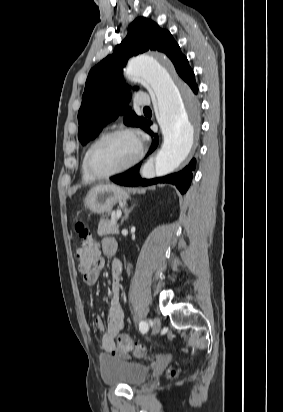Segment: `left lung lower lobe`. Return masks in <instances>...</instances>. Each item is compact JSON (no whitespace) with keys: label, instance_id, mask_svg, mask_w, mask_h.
<instances>
[{"label":"left lung lower lobe","instance_id":"1","mask_svg":"<svg viewBox=\"0 0 283 412\" xmlns=\"http://www.w3.org/2000/svg\"><path fill=\"white\" fill-rule=\"evenodd\" d=\"M184 81L190 86L193 92L197 94L198 87L195 82V76H194L193 71H191L185 77ZM150 125H151V121H148L147 125L144 128L146 132H148L151 136L154 137L151 150L149 151L148 154L153 152L158 145V136L150 130L149 128ZM195 164H196V160L193 159L189 163V165L186 166L183 170L177 173H172L164 177H159V178H154V179H141L139 176V168L141 164H138L122 174L110 177V179L114 183L119 184V185H124V186H138V185L149 186V185H154V184L170 183V184L175 185L177 189L181 192V194H184L186 193V191L188 190L190 186V183L192 180V170L195 168Z\"/></svg>","mask_w":283,"mask_h":412}]
</instances>
